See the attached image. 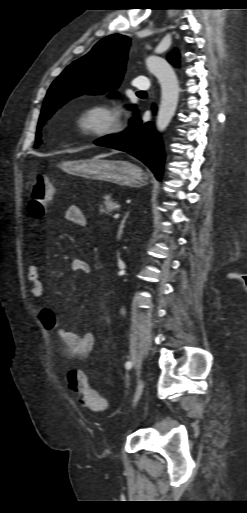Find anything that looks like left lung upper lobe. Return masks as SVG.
I'll return each mask as SVG.
<instances>
[{
  "label": "left lung upper lobe",
  "instance_id": "1",
  "mask_svg": "<svg viewBox=\"0 0 247 513\" xmlns=\"http://www.w3.org/2000/svg\"><path fill=\"white\" fill-rule=\"evenodd\" d=\"M130 38L113 34L100 40L91 51L69 65L51 84L39 118L36 145L41 143L40 127L68 100L85 94L115 90L125 71ZM179 54L168 56L170 63L178 65Z\"/></svg>",
  "mask_w": 247,
  "mask_h": 513
}]
</instances>
